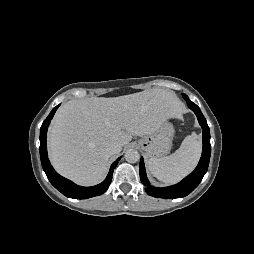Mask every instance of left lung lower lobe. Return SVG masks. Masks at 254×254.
Segmentation results:
<instances>
[{
	"mask_svg": "<svg viewBox=\"0 0 254 254\" xmlns=\"http://www.w3.org/2000/svg\"><path fill=\"white\" fill-rule=\"evenodd\" d=\"M186 101L189 108L192 111H194V113L197 115L199 124L201 125L203 130V150L201 159L195 170L178 184L165 188H155L149 186V181L146 177L143 158H141L139 165L140 179L143 185L149 186L146 192L150 196L168 199L185 197L199 185L205 173L207 172L211 155L209 127L199 107L189 99H186Z\"/></svg>",
	"mask_w": 254,
	"mask_h": 254,
	"instance_id": "1",
	"label": "left lung lower lobe"
}]
</instances>
